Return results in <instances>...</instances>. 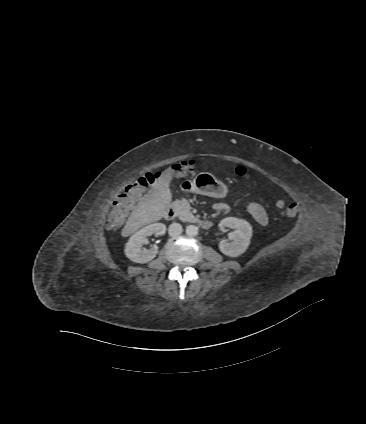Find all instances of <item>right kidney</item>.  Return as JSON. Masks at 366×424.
Here are the masks:
<instances>
[{
	"instance_id": "right-kidney-1",
	"label": "right kidney",
	"mask_w": 366,
	"mask_h": 424,
	"mask_svg": "<svg viewBox=\"0 0 366 424\" xmlns=\"http://www.w3.org/2000/svg\"><path fill=\"white\" fill-rule=\"evenodd\" d=\"M166 226L163 223L147 225L133 234L125 245V255L136 263H147L154 259L158 253V246L153 245L150 249H142V245L148 243L147 237L151 235L161 236L165 234Z\"/></svg>"
}]
</instances>
